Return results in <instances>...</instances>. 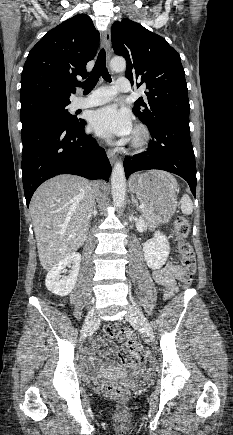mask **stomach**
I'll return each mask as SVG.
<instances>
[{
    "label": "stomach",
    "mask_w": 233,
    "mask_h": 435,
    "mask_svg": "<svg viewBox=\"0 0 233 435\" xmlns=\"http://www.w3.org/2000/svg\"><path fill=\"white\" fill-rule=\"evenodd\" d=\"M129 187L150 207L157 222L165 223L171 219L178 204L177 182L171 174L158 170L134 174Z\"/></svg>",
    "instance_id": "obj_1"
}]
</instances>
